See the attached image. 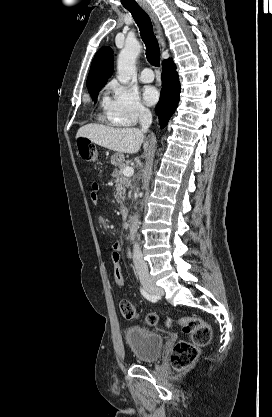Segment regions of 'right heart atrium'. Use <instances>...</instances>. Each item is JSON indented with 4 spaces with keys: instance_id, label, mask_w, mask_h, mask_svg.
<instances>
[{
    "instance_id": "right-heart-atrium-1",
    "label": "right heart atrium",
    "mask_w": 272,
    "mask_h": 417,
    "mask_svg": "<svg viewBox=\"0 0 272 417\" xmlns=\"http://www.w3.org/2000/svg\"><path fill=\"white\" fill-rule=\"evenodd\" d=\"M107 92L108 96L104 99L103 106L112 123L130 126L149 116V109L136 91L112 81L107 86Z\"/></svg>"
}]
</instances>
